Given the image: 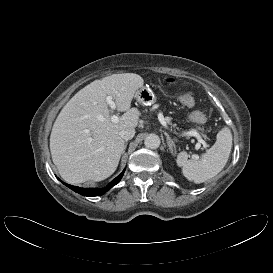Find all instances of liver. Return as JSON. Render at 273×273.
Returning a JSON list of instances; mask_svg holds the SVG:
<instances>
[{
    "label": "liver",
    "instance_id": "obj_1",
    "mask_svg": "<svg viewBox=\"0 0 273 273\" xmlns=\"http://www.w3.org/2000/svg\"><path fill=\"white\" fill-rule=\"evenodd\" d=\"M144 80L134 73L113 74L78 91L58 115L50 135V152L61 177L68 183L102 181L111 176L124 151L119 135L138 125L140 111L131 107ZM125 112L112 122L106 97Z\"/></svg>",
    "mask_w": 273,
    "mask_h": 273
}]
</instances>
